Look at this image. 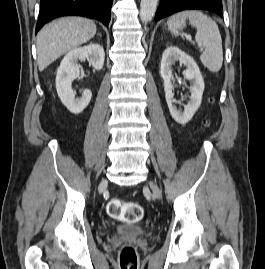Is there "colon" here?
I'll return each instance as SVG.
<instances>
[{
  "mask_svg": "<svg viewBox=\"0 0 265 269\" xmlns=\"http://www.w3.org/2000/svg\"><path fill=\"white\" fill-rule=\"evenodd\" d=\"M107 213L116 219L135 223L142 218V208L135 202H125L119 199H112L107 204ZM119 264L121 269H136L137 252L134 246L124 245L120 250Z\"/></svg>",
  "mask_w": 265,
  "mask_h": 269,
  "instance_id": "colon-1",
  "label": "colon"
}]
</instances>
